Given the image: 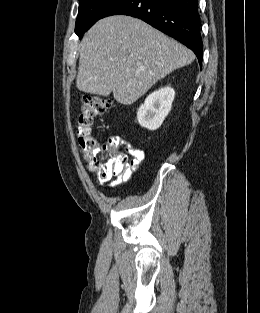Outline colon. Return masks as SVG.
Wrapping results in <instances>:
<instances>
[{"mask_svg": "<svg viewBox=\"0 0 260 313\" xmlns=\"http://www.w3.org/2000/svg\"><path fill=\"white\" fill-rule=\"evenodd\" d=\"M111 107L112 101L108 98L84 96L74 127L82 158L101 181L121 176L128 164L126 152L119 149L120 140L112 138L103 144L93 132L94 119Z\"/></svg>", "mask_w": 260, "mask_h": 313, "instance_id": "obj_1", "label": "colon"}]
</instances>
